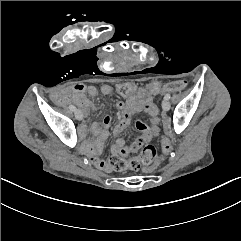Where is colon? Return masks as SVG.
Returning <instances> with one entry per match:
<instances>
[{
	"label": "colon",
	"instance_id": "5ec220e1",
	"mask_svg": "<svg viewBox=\"0 0 241 241\" xmlns=\"http://www.w3.org/2000/svg\"><path fill=\"white\" fill-rule=\"evenodd\" d=\"M187 86V81L185 79H178L173 82H165L163 84V90L167 93L177 94L185 89ZM142 89L143 91H148L151 93H156L160 88V84L158 82H143L142 84L139 81H134L132 84L129 80H124L122 84H118L116 86V91L118 93H123L124 97L129 98L135 92V90ZM162 92V91H161ZM161 97V94H160ZM163 150L165 152H170L172 150V144L170 142H165L163 144ZM160 157L156 148L151 145H145L138 155L134 156L131 159H122L117 156L111 157L109 166L116 170L123 169H138L141 166H144L143 174L148 176L151 171H155L157 166L163 167L165 162L163 160H157L156 158Z\"/></svg>",
	"mask_w": 241,
	"mask_h": 241
}]
</instances>
